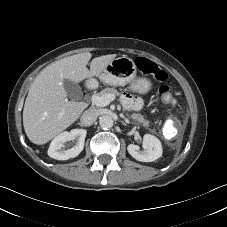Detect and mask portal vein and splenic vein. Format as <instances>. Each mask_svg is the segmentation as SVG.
Masks as SVG:
<instances>
[{"label": "portal vein and splenic vein", "instance_id": "18ae733b", "mask_svg": "<svg viewBox=\"0 0 227 227\" xmlns=\"http://www.w3.org/2000/svg\"><path fill=\"white\" fill-rule=\"evenodd\" d=\"M91 100L94 105L98 107H105L115 100V96L113 94H107L104 96L95 94L92 95Z\"/></svg>", "mask_w": 227, "mask_h": 227}]
</instances>
